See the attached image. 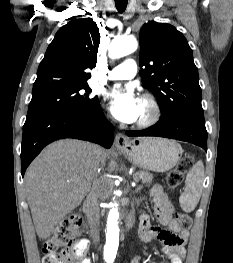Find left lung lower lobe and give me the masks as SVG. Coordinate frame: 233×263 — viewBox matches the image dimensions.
Returning <instances> with one entry per match:
<instances>
[{"label": "left lung lower lobe", "mask_w": 233, "mask_h": 263, "mask_svg": "<svg viewBox=\"0 0 233 263\" xmlns=\"http://www.w3.org/2000/svg\"><path fill=\"white\" fill-rule=\"evenodd\" d=\"M131 137L158 136L193 143L207 150V131L204 115L181 114L160 119L157 124L142 131H127Z\"/></svg>", "instance_id": "0a47b994"}]
</instances>
